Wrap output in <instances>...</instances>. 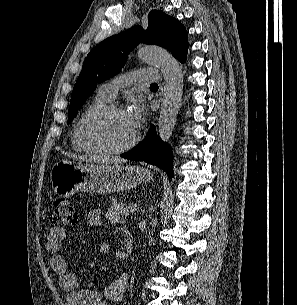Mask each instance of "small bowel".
I'll list each match as a JSON object with an SVG mask.
<instances>
[{"label":"small bowel","mask_w":297,"mask_h":305,"mask_svg":"<svg viewBox=\"0 0 297 305\" xmlns=\"http://www.w3.org/2000/svg\"><path fill=\"white\" fill-rule=\"evenodd\" d=\"M86 224L97 228L102 224V211L93 209L85 215ZM66 232L63 228L51 227L46 239V248L52 255L50 264L58 278L60 287L67 293L66 305H121L129 284V274L123 273L102 291H97L90 284L82 283L72 273L65 257L61 254ZM108 243H100L98 251L102 254L110 252Z\"/></svg>","instance_id":"1"}]
</instances>
